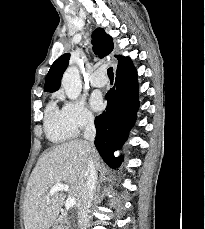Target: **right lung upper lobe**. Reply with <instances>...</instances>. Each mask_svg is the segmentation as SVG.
I'll list each match as a JSON object with an SVG mask.
<instances>
[{
	"label": "right lung upper lobe",
	"instance_id": "obj_1",
	"mask_svg": "<svg viewBox=\"0 0 205 229\" xmlns=\"http://www.w3.org/2000/svg\"><path fill=\"white\" fill-rule=\"evenodd\" d=\"M93 51L101 58L110 54L114 48L112 37L107 35L101 28L96 29L92 34ZM118 66L127 64L130 62L128 58H122L120 56ZM70 54H63L60 56L51 66L44 85V90L48 92H54L59 89L61 77L63 72L68 66ZM117 66V67H118Z\"/></svg>",
	"mask_w": 205,
	"mask_h": 229
}]
</instances>
